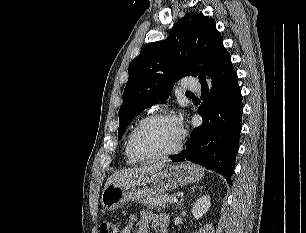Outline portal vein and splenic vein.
Masks as SVG:
<instances>
[{
    "instance_id": "obj_1",
    "label": "portal vein and splenic vein",
    "mask_w": 306,
    "mask_h": 233,
    "mask_svg": "<svg viewBox=\"0 0 306 233\" xmlns=\"http://www.w3.org/2000/svg\"><path fill=\"white\" fill-rule=\"evenodd\" d=\"M177 201H178V199H177L176 197H174V198H172V199L169 200L170 203H175V202H177Z\"/></svg>"
}]
</instances>
